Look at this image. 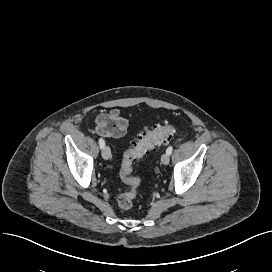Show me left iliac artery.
<instances>
[{
    "instance_id": "1",
    "label": "left iliac artery",
    "mask_w": 272,
    "mask_h": 272,
    "mask_svg": "<svg viewBox=\"0 0 272 272\" xmlns=\"http://www.w3.org/2000/svg\"><path fill=\"white\" fill-rule=\"evenodd\" d=\"M172 151H173V147H172V146H169V147L167 148V150H166V153L169 154V155H171Z\"/></svg>"
}]
</instances>
